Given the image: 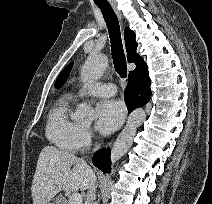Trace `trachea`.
<instances>
[{"instance_id":"3493384b","label":"trachea","mask_w":212,"mask_h":204,"mask_svg":"<svg viewBox=\"0 0 212 204\" xmlns=\"http://www.w3.org/2000/svg\"><path fill=\"white\" fill-rule=\"evenodd\" d=\"M97 6L100 8L108 27L115 70L121 78L125 79L127 77V65L117 16L110 5Z\"/></svg>"}]
</instances>
